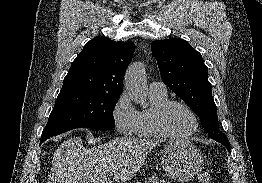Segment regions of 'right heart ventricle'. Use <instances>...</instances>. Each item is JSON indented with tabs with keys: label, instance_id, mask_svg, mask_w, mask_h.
Masks as SVG:
<instances>
[{
	"label": "right heart ventricle",
	"instance_id": "e07e8e85",
	"mask_svg": "<svg viewBox=\"0 0 262 183\" xmlns=\"http://www.w3.org/2000/svg\"><path fill=\"white\" fill-rule=\"evenodd\" d=\"M169 100L167 92L153 93L149 92L150 106L138 111L137 123L134 134L142 138H160L162 137L155 128L154 115L157 109Z\"/></svg>",
	"mask_w": 262,
	"mask_h": 183
}]
</instances>
